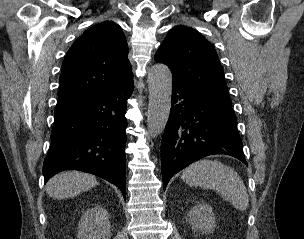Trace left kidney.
Instances as JSON below:
<instances>
[{
    "label": "left kidney",
    "instance_id": "5707ae66",
    "mask_svg": "<svg viewBox=\"0 0 304 239\" xmlns=\"http://www.w3.org/2000/svg\"><path fill=\"white\" fill-rule=\"evenodd\" d=\"M189 222L192 225V229L195 231H202L203 233H212L215 224V216L212 208L208 204H198L193 207L188 213Z\"/></svg>",
    "mask_w": 304,
    "mask_h": 239
}]
</instances>
